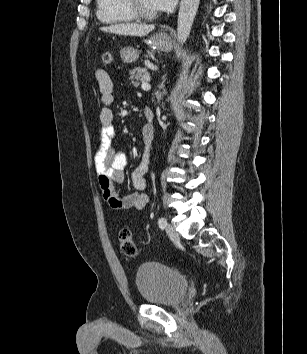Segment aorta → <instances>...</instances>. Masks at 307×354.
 <instances>
[{
  "label": "aorta",
  "instance_id": "obj_1",
  "mask_svg": "<svg viewBox=\"0 0 307 354\" xmlns=\"http://www.w3.org/2000/svg\"><path fill=\"white\" fill-rule=\"evenodd\" d=\"M200 0H181L177 19V39L184 44L191 31V27L199 7Z\"/></svg>",
  "mask_w": 307,
  "mask_h": 354
}]
</instances>
